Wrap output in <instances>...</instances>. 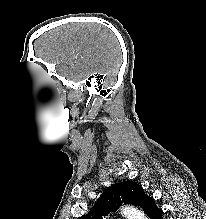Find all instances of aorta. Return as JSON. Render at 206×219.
<instances>
[{
    "label": "aorta",
    "instance_id": "762f6f07",
    "mask_svg": "<svg viewBox=\"0 0 206 219\" xmlns=\"http://www.w3.org/2000/svg\"><path fill=\"white\" fill-rule=\"evenodd\" d=\"M122 214L127 219H147L144 213L133 206H125L122 208Z\"/></svg>",
    "mask_w": 206,
    "mask_h": 219
}]
</instances>
